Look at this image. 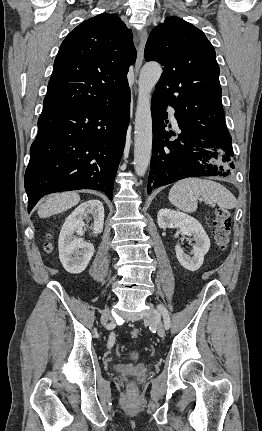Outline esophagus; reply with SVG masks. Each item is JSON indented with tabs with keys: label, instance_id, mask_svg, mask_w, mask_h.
<instances>
[{
	"label": "esophagus",
	"instance_id": "esophagus-1",
	"mask_svg": "<svg viewBox=\"0 0 262 431\" xmlns=\"http://www.w3.org/2000/svg\"><path fill=\"white\" fill-rule=\"evenodd\" d=\"M147 31L146 29H142L140 31V40H139V44L137 46V59L135 62V74L138 75L140 68L142 66L143 63V59H144V48H145V44L147 41Z\"/></svg>",
	"mask_w": 262,
	"mask_h": 431
}]
</instances>
